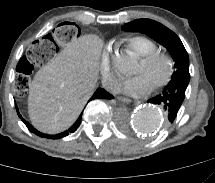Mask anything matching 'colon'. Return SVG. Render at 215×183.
Listing matches in <instances>:
<instances>
[{
    "instance_id": "obj_1",
    "label": "colon",
    "mask_w": 215,
    "mask_h": 183,
    "mask_svg": "<svg viewBox=\"0 0 215 183\" xmlns=\"http://www.w3.org/2000/svg\"><path fill=\"white\" fill-rule=\"evenodd\" d=\"M83 36V26L77 20H67L55 27L52 34L33 42L17 63L19 73L14 81V90L20 96H29L35 90L33 76L38 72V65L52 59L62 46L77 42Z\"/></svg>"
}]
</instances>
